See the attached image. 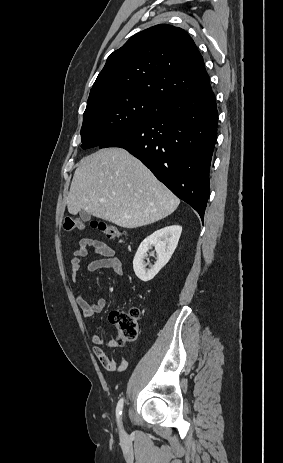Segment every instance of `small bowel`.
Masks as SVG:
<instances>
[{
	"label": "small bowel",
	"mask_w": 283,
	"mask_h": 463,
	"mask_svg": "<svg viewBox=\"0 0 283 463\" xmlns=\"http://www.w3.org/2000/svg\"><path fill=\"white\" fill-rule=\"evenodd\" d=\"M89 248H92L95 253L101 255V258L95 260H88ZM85 262L87 271L93 272L101 269H110L117 275L123 274V267L120 259L115 255L114 249L104 241L82 238L79 241L78 248L73 252L71 258V277L74 282L78 281L79 272L82 263ZM76 301L78 306L82 309L86 318H92L94 315L102 311L107 302L105 299H99L96 303H88L84 294L79 292ZM92 348L94 356L97 358L102 367L110 372H122L127 366L124 358L119 360L113 359L107 355L104 347L113 348L116 346L114 341H104L97 334L92 335Z\"/></svg>",
	"instance_id": "1"
}]
</instances>
